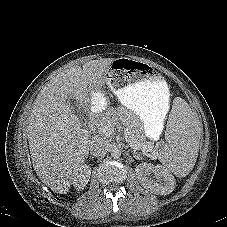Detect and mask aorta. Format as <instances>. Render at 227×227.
<instances>
[{
	"mask_svg": "<svg viewBox=\"0 0 227 227\" xmlns=\"http://www.w3.org/2000/svg\"><path fill=\"white\" fill-rule=\"evenodd\" d=\"M111 156L114 158V159H118L120 156H121V150L118 149V148H113L111 150Z\"/></svg>",
	"mask_w": 227,
	"mask_h": 227,
	"instance_id": "1",
	"label": "aorta"
}]
</instances>
